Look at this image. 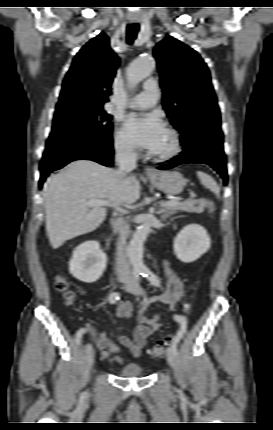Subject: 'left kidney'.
Here are the masks:
<instances>
[{
    "mask_svg": "<svg viewBox=\"0 0 273 430\" xmlns=\"http://www.w3.org/2000/svg\"><path fill=\"white\" fill-rule=\"evenodd\" d=\"M210 246V236L199 224L185 226L174 239L175 255L184 263L196 261L210 249Z\"/></svg>",
    "mask_w": 273,
    "mask_h": 430,
    "instance_id": "1",
    "label": "left kidney"
}]
</instances>
